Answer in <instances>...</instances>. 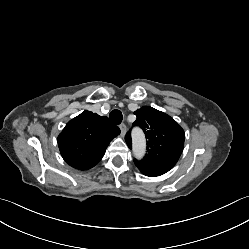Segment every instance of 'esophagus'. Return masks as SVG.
<instances>
[{
	"mask_svg": "<svg viewBox=\"0 0 249 249\" xmlns=\"http://www.w3.org/2000/svg\"><path fill=\"white\" fill-rule=\"evenodd\" d=\"M120 130H121V135H122V137H124L125 136V134H126V125L125 124H120Z\"/></svg>",
	"mask_w": 249,
	"mask_h": 249,
	"instance_id": "esophagus-1",
	"label": "esophagus"
}]
</instances>
